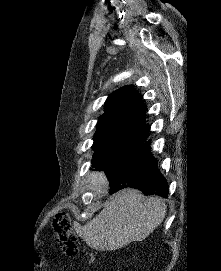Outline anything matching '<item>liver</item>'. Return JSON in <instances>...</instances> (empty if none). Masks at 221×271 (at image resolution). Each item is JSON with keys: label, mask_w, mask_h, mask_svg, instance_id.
<instances>
[{"label": "liver", "mask_w": 221, "mask_h": 271, "mask_svg": "<svg viewBox=\"0 0 221 271\" xmlns=\"http://www.w3.org/2000/svg\"><path fill=\"white\" fill-rule=\"evenodd\" d=\"M89 179L97 201L103 197L105 187L108 189L109 181L103 171H92ZM165 213L166 205L160 197H145L139 189L124 187L96 217L86 225H78L76 231L93 249H118L130 241H143L163 221Z\"/></svg>", "instance_id": "1"}]
</instances>
